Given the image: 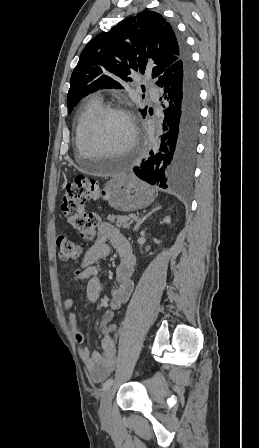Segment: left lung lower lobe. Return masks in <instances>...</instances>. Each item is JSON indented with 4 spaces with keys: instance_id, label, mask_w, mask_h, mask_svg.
Returning a JSON list of instances; mask_svg holds the SVG:
<instances>
[{
    "instance_id": "left-lung-lower-lobe-1",
    "label": "left lung lower lobe",
    "mask_w": 259,
    "mask_h": 448,
    "mask_svg": "<svg viewBox=\"0 0 259 448\" xmlns=\"http://www.w3.org/2000/svg\"><path fill=\"white\" fill-rule=\"evenodd\" d=\"M178 37L182 56L156 82L164 89V99L168 101L167 106L163 105L161 143L157 151H150L147 161L133 168L143 181L171 191H181L191 183L200 120L195 68L184 39Z\"/></svg>"
}]
</instances>
